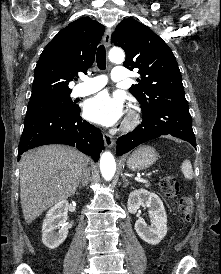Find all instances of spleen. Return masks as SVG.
<instances>
[{
    "label": "spleen",
    "mask_w": 221,
    "mask_h": 274,
    "mask_svg": "<svg viewBox=\"0 0 221 274\" xmlns=\"http://www.w3.org/2000/svg\"><path fill=\"white\" fill-rule=\"evenodd\" d=\"M181 171L186 179H193V169L191 162L189 160H185L181 165Z\"/></svg>",
    "instance_id": "spleen-1"
}]
</instances>
